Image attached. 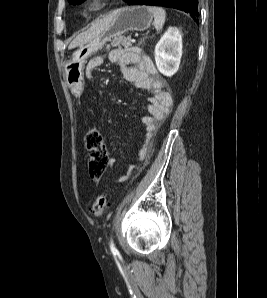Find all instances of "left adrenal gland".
Wrapping results in <instances>:
<instances>
[{"label":"left adrenal gland","instance_id":"1","mask_svg":"<svg viewBox=\"0 0 267 298\" xmlns=\"http://www.w3.org/2000/svg\"><path fill=\"white\" fill-rule=\"evenodd\" d=\"M144 39H145V38L141 39V41H140V44H142V43H143Z\"/></svg>","mask_w":267,"mask_h":298}]
</instances>
